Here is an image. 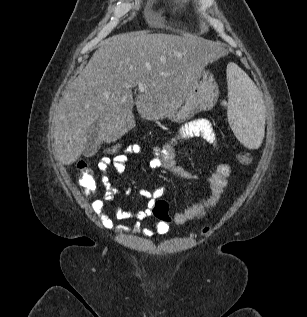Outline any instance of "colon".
Here are the masks:
<instances>
[{
    "label": "colon",
    "mask_w": 307,
    "mask_h": 317,
    "mask_svg": "<svg viewBox=\"0 0 307 317\" xmlns=\"http://www.w3.org/2000/svg\"><path fill=\"white\" fill-rule=\"evenodd\" d=\"M131 145H122L119 143L111 144L104 149L106 155L110 158H123L129 155V149ZM237 160L239 164L243 166H248L253 163V157L245 152H241L237 155ZM77 168L80 173V185L83 192L87 196H92L97 190V184L94 178L92 169L89 167L86 161H79L77 163ZM153 215L161 220L162 222L168 223L171 221L169 215L168 204L164 200H157L152 209ZM209 232V227L203 229V233L206 234Z\"/></svg>",
    "instance_id": "obj_1"
}]
</instances>
